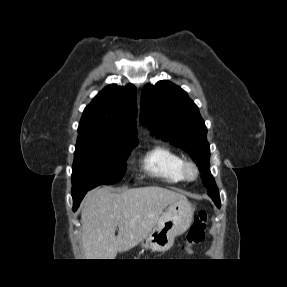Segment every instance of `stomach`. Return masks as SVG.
<instances>
[{
    "label": "stomach",
    "instance_id": "1",
    "mask_svg": "<svg viewBox=\"0 0 287 287\" xmlns=\"http://www.w3.org/2000/svg\"><path fill=\"white\" fill-rule=\"evenodd\" d=\"M194 208L187 199L177 200L169 205L160 216L156 226L140 245L154 252L169 250L176 236L183 234L190 226Z\"/></svg>",
    "mask_w": 287,
    "mask_h": 287
}]
</instances>
